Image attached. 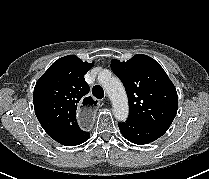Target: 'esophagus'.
<instances>
[{
  "label": "esophagus",
  "instance_id": "obj_1",
  "mask_svg": "<svg viewBox=\"0 0 209 179\" xmlns=\"http://www.w3.org/2000/svg\"><path fill=\"white\" fill-rule=\"evenodd\" d=\"M97 107V99L94 96H85L77 109V122L82 127H89L93 123V115Z\"/></svg>",
  "mask_w": 209,
  "mask_h": 179
}]
</instances>
